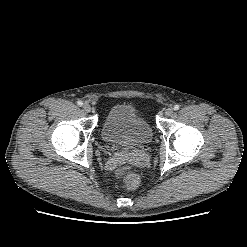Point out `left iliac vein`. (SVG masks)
I'll use <instances>...</instances> for the list:
<instances>
[{"instance_id": "4c4485c4", "label": "left iliac vein", "mask_w": 247, "mask_h": 247, "mask_svg": "<svg viewBox=\"0 0 247 247\" xmlns=\"http://www.w3.org/2000/svg\"><path fill=\"white\" fill-rule=\"evenodd\" d=\"M164 113H165L166 116L172 115V113H173V108H167V109L165 110Z\"/></svg>"}]
</instances>
